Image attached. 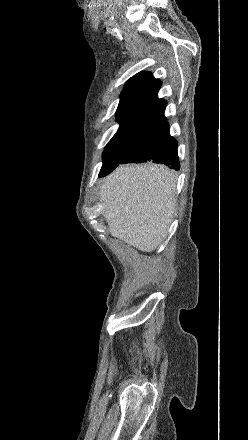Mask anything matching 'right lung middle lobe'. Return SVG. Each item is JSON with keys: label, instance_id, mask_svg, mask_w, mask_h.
Instances as JSON below:
<instances>
[{"label": "right lung middle lobe", "instance_id": "1", "mask_svg": "<svg viewBox=\"0 0 248 440\" xmlns=\"http://www.w3.org/2000/svg\"><path fill=\"white\" fill-rule=\"evenodd\" d=\"M132 133L133 131H125L110 140L103 152V165L99 177L109 174L121 163L128 138Z\"/></svg>", "mask_w": 248, "mask_h": 440}]
</instances>
